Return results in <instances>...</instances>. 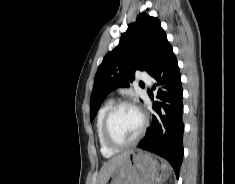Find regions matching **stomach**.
I'll return each mask as SVG.
<instances>
[{
    "label": "stomach",
    "mask_w": 235,
    "mask_h": 184,
    "mask_svg": "<svg viewBox=\"0 0 235 184\" xmlns=\"http://www.w3.org/2000/svg\"><path fill=\"white\" fill-rule=\"evenodd\" d=\"M165 160H156L148 152H132L126 162L114 168L106 184H162L168 178Z\"/></svg>",
    "instance_id": "stomach-1"
}]
</instances>
